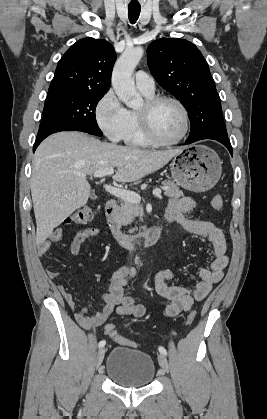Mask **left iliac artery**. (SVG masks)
Masks as SVG:
<instances>
[{"label":"left iliac artery","instance_id":"obj_1","mask_svg":"<svg viewBox=\"0 0 267 419\" xmlns=\"http://www.w3.org/2000/svg\"><path fill=\"white\" fill-rule=\"evenodd\" d=\"M158 350H159V352H160L161 354H163V355H167V351H166V349H165L164 347L160 346V347L158 348Z\"/></svg>","mask_w":267,"mask_h":419}]
</instances>
